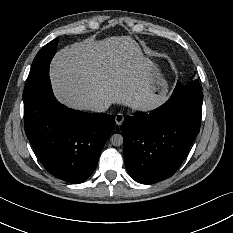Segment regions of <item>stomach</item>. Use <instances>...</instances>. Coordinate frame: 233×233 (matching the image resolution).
I'll return each instance as SVG.
<instances>
[{
	"label": "stomach",
	"instance_id": "obj_1",
	"mask_svg": "<svg viewBox=\"0 0 233 233\" xmlns=\"http://www.w3.org/2000/svg\"><path fill=\"white\" fill-rule=\"evenodd\" d=\"M140 55L143 58L144 74L152 95L158 98L162 103L167 100L169 94V84L165 79L162 69L155 58L147 54L139 46Z\"/></svg>",
	"mask_w": 233,
	"mask_h": 233
}]
</instances>
